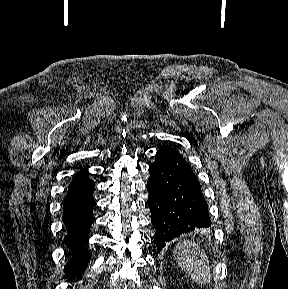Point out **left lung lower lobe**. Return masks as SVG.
<instances>
[{"instance_id": "obj_1", "label": "left lung lower lobe", "mask_w": 288, "mask_h": 289, "mask_svg": "<svg viewBox=\"0 0 288 289\" xmlns=\"http://www.w3.org/2000/svg\"><path fill=\"white\" fill-rule=\"evenodd\" d=\"M149 173L148 206L157 252L174 237L211 225L200 183L176 149L161 147Z\"/></svg>"}]
</instances>
